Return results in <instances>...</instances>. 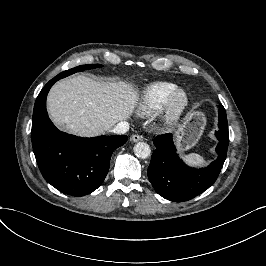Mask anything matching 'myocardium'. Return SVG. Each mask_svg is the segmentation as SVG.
<instances>
[{
  "label": "myocardium",
  "instance_id": "obj_1",
  "mask_svg": "<svg viewBox=\"0 0 266 266\" xmlns=\"http://www.w3.org/2000/svg\"><path fill=\"white\" fill-rule=\"evenodd\" d=\"M179 96L183 97V105L181 108H176L175 102ZM191 106L190 94L186 89L179 87L168 97L158 111L157 122L159 126L165 131L174 130L184 122L191 110Z\"/></svg>",
  "mask_w": 266,
  "mask_h": 266
}]
</instances>
